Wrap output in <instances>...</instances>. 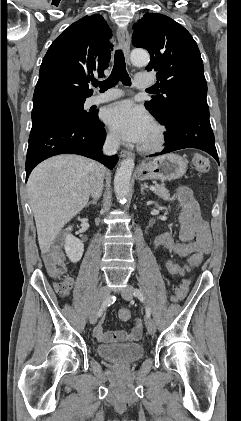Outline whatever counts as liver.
<instances>
[{
  "instance_id": "obj_1",
  "label": "liver",
  "mask_w": 241,
  "mask_h": 421,
  "mask_svg": "<svg viewBox=\"0 0 241 421\" xmlns=\"http://www.w3.org/2000/svg\"><path fill=\"white\" fill-rule=\"evenodd\" d=\"M97 165L83 156L65 154L45 160L30 174L28 196L42 254L87 205Z\"/></svg>"
}]
</instances>
